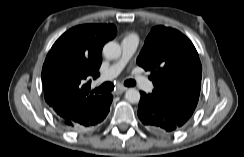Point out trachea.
Here are the masks:
<instances>
[{
    "mask_svg": "<svg viewBox=\"0 0 244 157\" xmlns=\"http://www.w3.org/2000/svg\"><path fill=\"white\" fill-rule=\"evenodd\" d=\"M136 82L132 79L126 80L124 82L125 86L132 87L135 86ZM114 89V85L111 82H106L102 84L100 87L96 88L94 91L96 93H108Z\"/></svg>",
    "mask_w": 244,
    "mask_h": 157,
    "instance_id": "1",
    "label": "trachea"
}]
</instances>
